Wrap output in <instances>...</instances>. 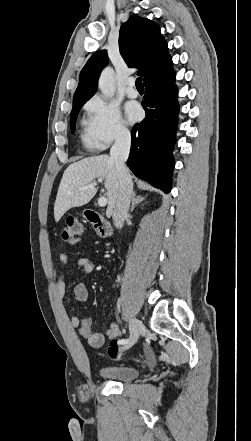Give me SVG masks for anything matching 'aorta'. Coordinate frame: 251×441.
Masks as SVG:
<instances>
[{
	"label": "aorta",
	"instance_id": "1",
	"mask_svg": "<svg viewBox=\"0 0 251 441\" xmlns=\"http://www.w3.org/2000/svg\"><path fill=\"white\" fill-rule=\"evenodd\" d=\"M98 86L105 98H111L114 96L116 86L114 81V71L112 68L107 67L102 71Z\"/></svg>",
	"mask_w": 251,
	"mask_h": 441
}]
</instances>
